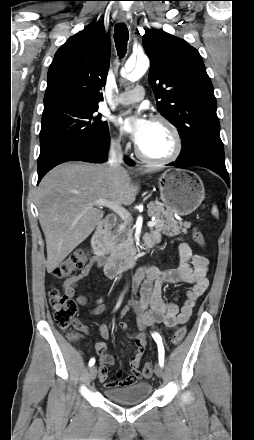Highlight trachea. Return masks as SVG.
I'll return each mask as SVG.
<instances>
[{
  "label": "trachea",
  "instance_id": "trachea-1",
  "mask_svg": "<svg viewBox=\"0 0 254 440\" xmlns=\"http://www.w3.org/2000/svg\"><path fill=\"white\" fill-rule=\"evenodd\" d=\"M129 32L125 24H117L114 28V41L118 56L123 58L127 51Z\"/></svg>",
  "mask_w": 254,
  "mask_h": 440
}]
</instances>
